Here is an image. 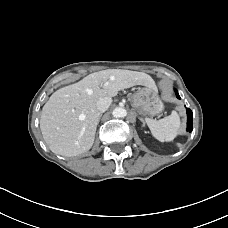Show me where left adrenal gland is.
<instances>
[{
	"label": "left adrenal gland",
	"instance_id": "obj_1",
	"mask_svg": "<svg viewBox=\"0 0 228 228\" xmlns=\"http://www.w3.org/2000/svg\"><path fill=\"white\" fill-rule=\"evenodd\" d=\"M141 121H142V123H143V126L145 125V122H144V120L143 119H141Z\"/></svg>",
	"mask_w": 228,
	"mask_h": 228
}]
</instances>
